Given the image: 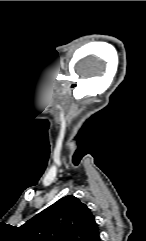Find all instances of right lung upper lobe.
I'll return each mask as SVG.
<instances>
[{"mask_svg":"<svg viewBox=\"0 0 146 241\" xmlns=\"http://www.w3.org/2000/svg\"><path fill=\"white\" fill-rule=\"evenodd\" d=\"M23 228L30 241H101L90 209L72 195L59 199Z\"/></svg>","mask_w":146,"mask_h":241,"instance_id":"1","label":"right lung upper lobe"}]
</instances>
